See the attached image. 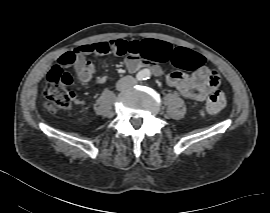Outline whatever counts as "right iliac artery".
I'll list each match as a JSON object with an SVG mask.
<instances>
[{
	"label": "right iliac artery",
	"mask_w": 270,
	"mask_h": 213,
	"mask_svg": "<svg viewBox=\"0 0 270 213\" xmlns=\"http://www.w3.org/2000/svg\"><path fill=\"white\" fill-rule=\"evenodd\" d=\"M142 78H143V77H142L141 75H139V74L136 76V79H137V80H142Z\"/></svg>",
	"instance_id": "obj_1"
}]
</instances>
